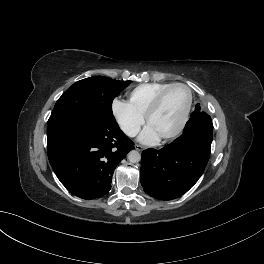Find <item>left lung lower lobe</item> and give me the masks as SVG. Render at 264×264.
Returning a JSON list of instances; mask_svg holds the SVG:
<instances>
[{
  "label": "left lung lower lobe",
  "instance_id": "obj_1",
  "mask_svg": "<svg viewBox=\"0 0 264 264\" xmlns=\"http://www.w3.org/2000/svg\"><path fill=\"white\" fill-rule=\"evenodd\" d=\"M212 130L211 117L197 104L180 137L160 150L143 151L140 179L144 191L159 200L175 199L187 192L207 165Z\"/></svg>",
  "mask_w": 264,
  "mask_h": 264
}]
</instances>
